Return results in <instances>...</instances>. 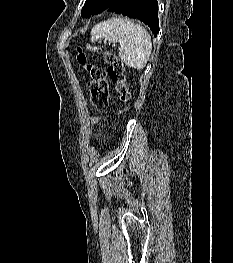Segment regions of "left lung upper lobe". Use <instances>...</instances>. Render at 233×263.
<instances>
[{"instance_id":"1","label":"left lung upper lobe","mask_w":233,"mask_h":263,"mask_svg":"<svg viewBox=\"0 0 233 263\" xmlns=\"http://www.w3.org/2000/svg\"><path fill=\"white\" fill-rule=\"evenodd\" d=\"M116 0H86L81 16L84 18H90L92 15L101 13L106 10Z\"/></svg>"}]
</instances>
